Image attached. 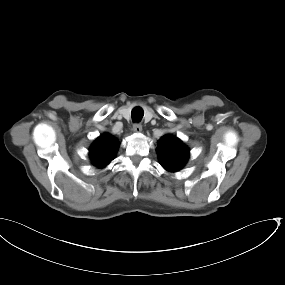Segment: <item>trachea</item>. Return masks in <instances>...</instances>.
I'll list each match as a JSON object with an SVG mask.
<instances>
[{"label": "trachea", "mask_w": 285, "mask_h": 285, "mask_svg": "<svg viewBox=\"0 0 285 285\" xmlns=\"http://www.w3.org/2000/svg\"><path fill=\"white\" fill-rule=\"evenodd\" d=\"M143 115H144V111L141 107H135L132 110V120L134 122H140L141 119L143 118Z\"/></svg>", "instance_id": "trachea-1"}]
</instances>
